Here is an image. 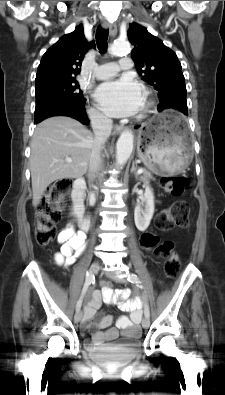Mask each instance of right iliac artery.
<instances>
[{"instance_id":"82829eb1","label":"right iliac artery","mask_w":225,"mask_h":395,"mask_svg":"<svg viewBox=\"0 0 225 395\" xmlns=\"http://www.w3.org/2000/svg\"><path fill=\"white\" fill-rule=\"evenodd\" d=\"M93 279H94V275H92L89 272H87L86 280H85V283H84V286H83V289H82L81 296L78 299L77 304H76V311L80 310L81 305H82L83 296L85 295V293H86V291H87L88 287L90 286V284H91Z\"/></svg>"}]
</instances>
